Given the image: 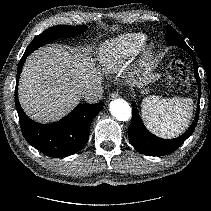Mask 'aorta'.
I'll list each match as a JSON object with an SVG mask.
<instances>
[{
	"label": "aorta",
	"instance_id": "obj_1",
	"mask_svg": "<svg viewBox=\"0 0 211 211\" xmlns=\"http://www.w3.org/2000/svg\"><path fill=\"white\" fill-rule=\"evenodd\" d=\"M110 112L112 116L120 121H128L131 117L132 111L128 102L123 99H115L110 103Z\"/></svg>",
	"mask_w": 211,
	"mask_h": 211
}]
</instances>
